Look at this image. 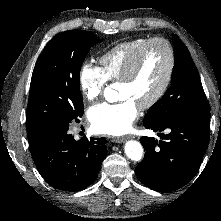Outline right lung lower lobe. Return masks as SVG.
<instances>
[{
	"mask_svg": "<svg viewBox=\"0 0 221 221\" xmlns=\"http://www.w3.org/2000/svg\"><path fill=\"white\" fill-rule=\"evenodd\" d=\"M72 121L79 122V118ZM72 121L49 128L30 146L35 165L46 182L69 192L82 190L95 180L107 152L105 138L76 141L68 133Z\"/></svg>",
	"mask_w": 221,
	"mask_h": 221,
	"instance_id": "98d812e1",
	"label": "right lung lower lobe"
}]
</instances>
